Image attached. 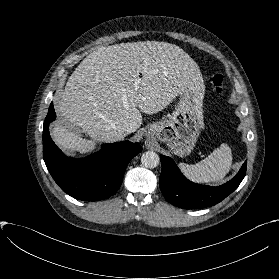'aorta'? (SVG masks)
Segmentation results:
<instances>
[{
	"instance_id": "aorta-1",
	"label": "aorta",
	"mask_w": 279,
	"mask_h": 279,
	"mask_svg": "<svg viewBox=\"0 0 279 279\" xmlns=\"http://www.w3.org/2000/svg\"><path fill=\"white\" fill-rule=\"evenodd\" d=\"M160 158L154 151H146L141 156V163L146 168H155L158 166Z\"/></svg>"
}]
</instances>
